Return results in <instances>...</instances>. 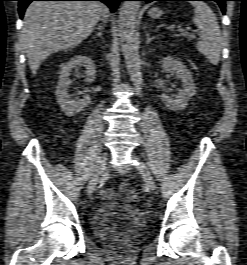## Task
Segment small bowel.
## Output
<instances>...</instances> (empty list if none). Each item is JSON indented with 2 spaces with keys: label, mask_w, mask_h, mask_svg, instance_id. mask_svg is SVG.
<instances>
[{
  "label": "small bowel",
  "mask_w": 247,
  "mask_h": 265,
  "mask_svg": "<svg viewBox=\"0 0 247 265\" xmlns=\"http://www.w3.org/2000/svg\"><path fill=\"white\" fill-rule=\"evenodd\" d=\"M104 199H118L125 202H132L138 200V195L135 190H128L126 192H117L112 189H107L102 192Z\"/></svg>",
  "instance_id": "obj_1"
}]
</instances>
